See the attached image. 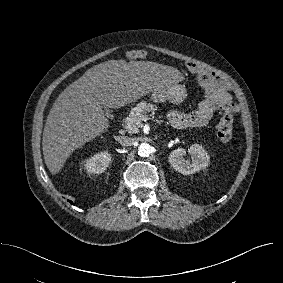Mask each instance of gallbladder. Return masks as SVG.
<instances>
[{
	"instance_id": "gallbladder-1",
	"label": "gallbladder",
	"mask_w": 283,
	"mask_h": 283,
	"mask_svg": "<svg viewBox=\"0 0 283 283\" xmlns=\"http://www.w3.org/2000/svg\"><path fill=\"white\" fill-rule=\"evenodd\" d=\"M105 111H106L107 116H110V115H111V113H110V111L108 110V108L105 107Z\"/></svg>"
}]
</instances>
